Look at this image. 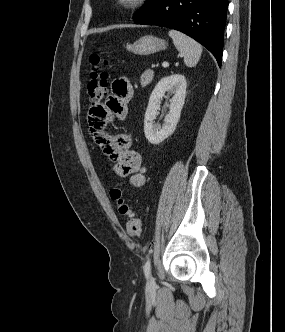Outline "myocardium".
Returning <instances> with one entry per match:
<instances>
[{
	"mask_svg": "<svg viewBox=\"0 0 285 332\" xmlns=\"http://www.w3.org/2000/svg\"><path fill=\"white\" fill-rule=\"evenodd\" d=\"M150 0H115V5L124 11H135L146 7Z\"/></svg>",
	"mask_w": 285,
	"mask_h": 332,
	"instance_id": "f54148a6",
	"label": "myocardium"
}]
</instances>
